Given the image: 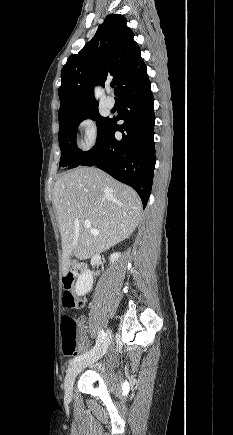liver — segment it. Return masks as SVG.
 Masks as SVG:
<instances>
[{"label":"liver","instance_id":"obj_1","mask_svg":"<svg viewBox=\"0 0 233 435\" xmlns=\"http://www.w3.org/2000/svg\"><path fill=\"white\" fill-rule=\"evenodd\" d=\"M53 204L61 233L64 276L71 256L86 260L129 238L142 211L135 190L93 167L63 174L55 182ZM85 220L98 235L84 227Z\"/></svg>","mask_w":233,"mask_h":435}]
</instances>
